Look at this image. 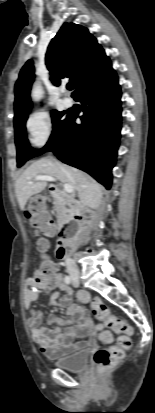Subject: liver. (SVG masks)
<instances>
[{
    "mask_svg": "<svg viewBox=\"0 0 155 413\" xmlns=\"http://www.w3.org/2000/svg\"><path fill=\"white\" fill-rule=\"evenodd\" d=\"M59 164L68 170L71 179L62 173ZM44 175L51 176L64 184H70L79 197L77 206L93 209L99 207L103 195V188L99 183L76 168L55 162L50 158H42L33 162L16 180L15 193L21 210H24L31 196L46 188V181H35L37 176Z\"/></svg>",
    "mask_w": 155,
    "mask_h": 413,
    "instance_id": "liver-1",
    "label": "liver"
}]
</instances>
